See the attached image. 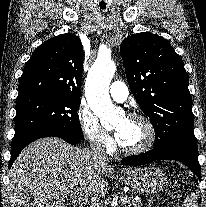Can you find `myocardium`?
Masks as SVG:
<instances>
[{
  "label": "myocardium",
  "instance_id": "f54148a6",
  "mask_svg": "<svg viewBox=\"0 0 206 207\" xmlns=\"http://www.w3.org/2000/svg\"><path fill=\"white\" fill-rule=\"evenodd\" d=\"M127 119L130 121L142 122L147 128L148 135H147V139L143 145H141L137 148L130 149V148H125L124 146L119 144L120 150L125 155H130V156L140 155V154L148 152L153 147V145L156 141V137H157L156 127H155L153 121L148 116H146L142 113H132L127 116Z\"/></svg>",
  "mask_w": 206,
  "mask_h": 207
}]
</instances>
